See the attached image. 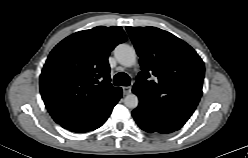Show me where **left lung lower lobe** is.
I'll return each instance as SVG.
<instances>
[{"label": "left lung lower lobe", "instance_id": "0a47b994", "mask_svg": "<svg viewBox=\"0 0 248 158\" xmlns=\"http://www.w3.org/2000/svg\"><path fill=\"white\" fill-rule=\"evenodd\" d=\"M132 115L138 126L149 133H171L180 128H175L151 110L139 105L132 111Z\"/></svg>", "mask_w": 248, "mask_h": 158}]
</instances>
